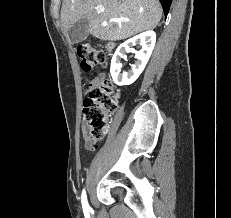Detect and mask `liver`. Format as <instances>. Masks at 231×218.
<instances>
[{"mask_svg":"<svg viewBox=\"0 0 231 218\" xmlns=\"http://www.w3.org/2000/svg\"><path fill=\"white\" fill-rule=\"evenodd\" d=\"M104 11L99 13L96 6ZM162 17L158 0H64L61 22L65 31L81 19L89 20L88 33L104 41L127 39L137 33L154 29ZM126 18L127 22H111Z\"/></svg>","mask_w":231,"mask_h":218,"instance_id":"6515ba94","label":"liver"}]
</instances>
